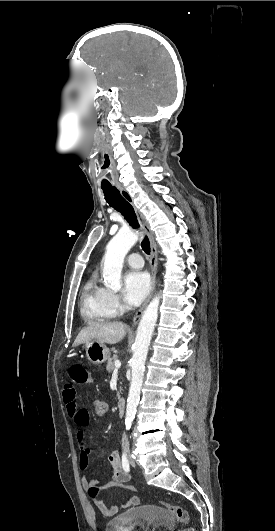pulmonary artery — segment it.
I'll return each instance as SVG.
<instances>
[{
    "label": "pulmonary artery",
    "instance_id": "obj_1",
    "mask_svg": "<svg viewBox=\"0 0 275 531\" xmlns=\"http://www.w3.org/2000/svg\"><path fill=\"white\" fill-rule=\"evenodd\" d=\"M125 260L130 266L136 265L141 267L143 265L142 258L137 253H132V256H128Z\"/></svg>",
    "mask_w": 275,
    "mask_h": 531
}]
</instances>
